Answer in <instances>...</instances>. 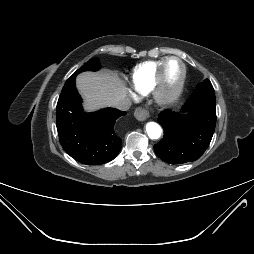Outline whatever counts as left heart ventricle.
<instances>
[{"label":"left heart ventricle","instance_id":"left-heart-ventricle-1","mask_svg":"<svg viewBox=\"0 0 254 254\" xmlns=\"http://www.w3.org/2000/svg\"><path fill=\"white\" fill-rule=\"evenodd\" d=\"M181 75V66L177 61H171L165 71V83L167 87H173L179 80Z\"/></svg>","mask_w":254,"mask_h":254}]
</instances>
